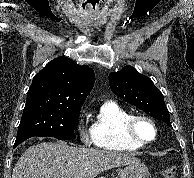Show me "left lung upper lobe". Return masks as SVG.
<instances>
[{
	"label": "left lung upper lobe",
	"instance_id": "left-lung-upper-lobe-1",
	"mask_svg": "<svg viewBox=\"0 0 194 178\" xmlns=\"http://www.w3.org/2000/svg\"><path fill=\"white\" fill-rule=\"evenodd\" d=\"M109 84L112 92L124 101L164 121L168 126L171 125L169 111L161 91L134 67L127 65L119 72L110 73Z\"/></svg>",
	"mask_w": 194,
	"mask_h": 178
}]
</instances>
